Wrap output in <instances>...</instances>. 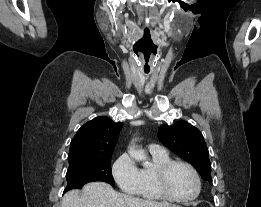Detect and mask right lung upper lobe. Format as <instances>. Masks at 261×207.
<instances>
[{"label":"right lung upper lobe","mask_w":261,"mask_h":207,"mask_svg":"<svg viewBox=\"0 0 261 207\" xmlns=\"http://www.w3.org/2000/svg\"><path fill=\"white\" fill-rule=\"evenodd\" d=\"M122 126L103 116L85 123L70 143L69 163L112 157Z\"/></svg>","instance_id":"cb5924a9"}]
</instances>
